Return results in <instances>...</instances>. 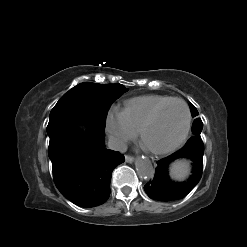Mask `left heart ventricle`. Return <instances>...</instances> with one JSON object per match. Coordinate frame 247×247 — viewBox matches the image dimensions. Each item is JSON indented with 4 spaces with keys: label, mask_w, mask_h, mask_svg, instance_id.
I'll list each match as a JSON object with an SVG mask.
<instances>
[{
    "label": "left heart ventricle",
    "mask_w": 247,
    "mask_h": 247,
    "mask_svg": "<svg viewBox=\"0 0 247 247\" xmlns=\"http://www.w3.org/2000/svg\"><path fill=\"white\" fill-rule=\"evenodd\" d=\"M186 123L184 106L179 102L167 105L144 134L146 146L161 149L174 144L182 135Z\"/></svg>",
    "instance_id": "1"
}]
</instances>
